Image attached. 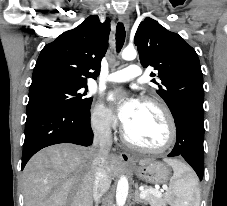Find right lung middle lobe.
I'll return each instance as SVG.
<instances>
[{"instance_id": "right-lung-middle-lobe-1", "label": "right lung middle lobe", "mask_w": 227, "mask_h": 206, "mask_svg": "<svg viewBox=\"0 0 227 206\" xmlns=\"http://www.w3.org/2000/svg\"><path fill=\"white\" fill-rule=\"evenodd\" d=\"M87 85L74 84L62 80H42L34 82L29 90L27 112L43 106L85 110L92 98H85Z\"/></svg>"}]
</instances>
